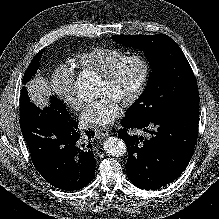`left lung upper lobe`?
Masks as SVG:
<instances>
[{"label": "left lung upper lobe", "mask_w": 219, "mask_h": 219, "mask_svg": "<svg viewBox=\"0 0 219 219\" xmlns=\"http://www.w3.org/2000/svg\"><path fill=\"white\" fill-rule=\"evenodd\" d=\"M116 42L146 51L152 68L147 86L126 112L143 120L198 108L197 82L190 64L175 41L165 34L113 35Z\"/></svg>", "instance_id": "5c2ea615"}]
</instances>
